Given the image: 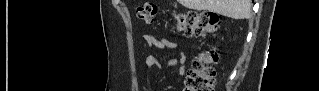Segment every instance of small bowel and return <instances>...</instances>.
Segmentation results:
<instances>
[{"mask_svg": "<svg viewBox=\"0 0 319 91\" xmlns=\"http://www.w3.org/2000/svg\"><path fill=\"white\" fill-rule=\"evenodd\" d=\"M144 40L148 46L157 49H176L178 43L175 40L169 38H157L152 34L144 35ZM186 56L184 53H178L174 57L169 58L166 62L168 66H177L178 74L184 76L186 73L185 67ZM143 65L146 68H159L160 63L154 55H147L143 59Z\"/></svg>", "mask_w": 319, "mask_h": 91, "instance_id": "1", "label": "small bowel"}]
</instances>
